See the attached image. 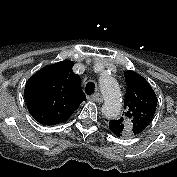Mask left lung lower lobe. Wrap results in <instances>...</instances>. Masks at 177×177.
<instances>
[{"mask_svg":"<svg viewBox=\"0 0 177 177\" xmlns=\"http://www.w3.org/2000/svg\"><path fill=\"white\" fill-rule=\"evenodd\" d=\"M109 128L114 135H116L117 137H120L119 136L120 133L117 130L113 129L111 126Z\"/></svg>","mask_w":177,"mask_h":177,"instance_id":"0a47b994","label":"left lung lower lobe"}]
</instances>
